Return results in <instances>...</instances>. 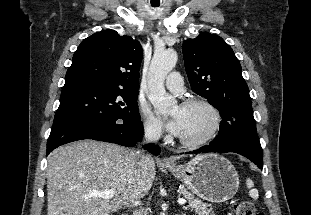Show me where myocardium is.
<instances>
[{"label": "myocardium", "mask_w": 311, "mask_h": 215, "mask_svg": "<svg viewBox=\"0 0 311 215\" xmlns=\"http://www.w3.org/2000/svg\"><path fill=\"white\" fill-rule=\"evenodd\" d=\"M181 107H192V106H202L206 108L213 117V123L210 128V130L207 132V134L198 140H185L183 138L179 137V142L188 148H198L206 145L208 142H210L217 132L220 129L221 122H222V116L219 112V110L208 100L203 98H190L185 101H183L180 105Z\"/></svg>", "instance_id": "1"}]
</instances>
